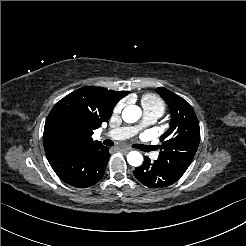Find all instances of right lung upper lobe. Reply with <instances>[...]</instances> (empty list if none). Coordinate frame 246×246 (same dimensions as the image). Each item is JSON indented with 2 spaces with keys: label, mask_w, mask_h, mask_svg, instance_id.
I'll use <instances>...</instances> for the list:
<instances>
[{
  "label": "right lung upper lobe",
  "mask_w": 246,
  "mask_h": 246,
  "mask_svg": "<svg viewBox=\"0 0 246 246\" xmlns=\"http://www.w3.org/2000/svg\"><path fill=\"white\" fill-rule=\"evenodd\" d=\"M128 93L86 86L65 96L55 104L46 119L43 133L45 153L102 145L93 141V131L110 118L116 103Z\"/></svg>",
  "instance_id": "right-lung-upper-lobe-1"
}]
</instances>
